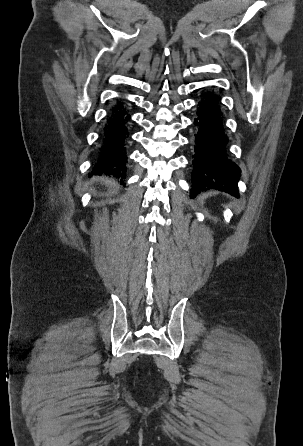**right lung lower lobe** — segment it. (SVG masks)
<instances>
[{
	"label": "right lung lower lobe",
	"mask_w": 303,
	"mask_h": 446,
	"mask_svg": "<svg viewBox=\"0 0 303 446\" xmlns=\"http://www.w3.org/2000/svg\"><path fill=\"white\" fill-rule=\"evenodd\" d=\"M129 119V111L124 106V101L118 99L112 110V116L104 128L100 154L93 167L95 174L105 173L125 177L127 159L125 145L130 135Z\"/></svg>",
	"instance_id": "right-lung-lower-lobe-1"
}]
</instances>
